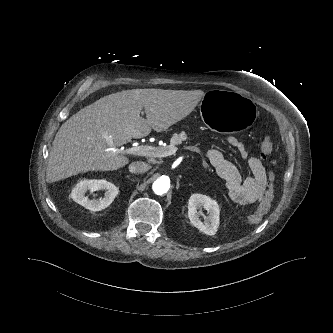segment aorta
<instances>
[{"mask_svg":"<svg viewBox=\"0 0 333 333\" xmlns=\"http://www.w3.org/2000/svg\"><path fill=\"white\" fill-rule=\"evenodd\" d=\"M152 189L155 194L163 195L170 189V180L167 177L162 176L154 181Z\"/></svg>","mask_w":333,"mask_h":333,"instance_id":"aorta-1","label":"aorta"}]
</instances>
